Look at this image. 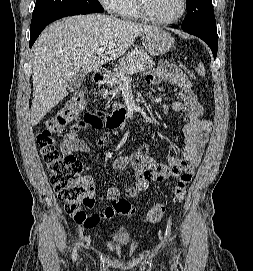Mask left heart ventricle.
<instances>
[{
    "label": "left heart ventricle",
    "instance_id": "left-heart-ventricle-1",
    "mask_svg": "<svg viewBox=\"0 0 253 271\" xmlns=\"http://www.w3.org/2000/svg\"><path fill=\"white\" fill-rule=\"evenodd\" d=\"M150 13L159 19L175 17L181 9V0H147Z\"/></svg>",
    "mask_w": 253,
    "mask_h": 271
}]
</instances>
